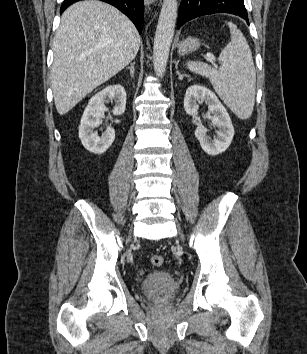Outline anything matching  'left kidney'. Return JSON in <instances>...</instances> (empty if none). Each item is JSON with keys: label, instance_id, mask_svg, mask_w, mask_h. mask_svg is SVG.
<instances>
[{"label": "left kidney", "instance_id": "left-kidney-1", "mask_svg": "<svg viewBox=\"0 0 307 354\" xmlns=\"http://www.w3.org/2000/svg\"><path fill=\"white\" fill-rule=\"evenodd\" d=\"M200 102H205L208 105L209 112L213 114L212 124L218 130L216 131V137L212 140L207 136L205 127L199 125L195 130V136L202 149L207 154L215 156L224 152L230 146L234 137V127L227 110L214 92L201 85L190 86L184 97L185 112L188 115H196Z\"/></svg>", "mask_w": 307, "mask_h": 354}]
</instances>
